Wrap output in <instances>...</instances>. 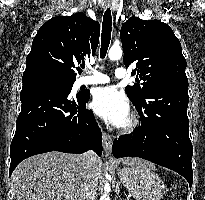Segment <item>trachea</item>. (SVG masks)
I'll return each instance as SVG.
<instances>
[{
  "mask_svg": "<svg viewBox=\"0 0 205 200\" xmlns=\"http://www.w3.org/2000/svg\"><path fill=\"white\" fill-rule=\"evenodd\" d=\"M111 31H112V16L110 8L104 13L103 22H102V37H101V50L100 57L105 58L110 40H111Z\"/></svg>",
  "mask_w": 205,
  "mask_h": 200,
  "instance_id": "trachea-1",
  "label": "trachea"
}]
</instances>
